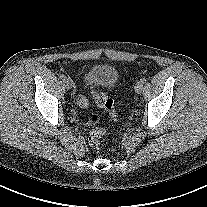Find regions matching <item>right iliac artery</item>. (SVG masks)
I'll use <instances>...</instances> for the list:
<instances>
[{"label":"right iliac artery","instance_id":"82829eb1","mask_svg":"<svg viewBox=\"0 0 207 207\" xmlns=\"http://www.w3.org/2000/svg\"><path fill=\"white\" fill-rule=\"evenodd\" d=\"M60 79H62V80H65L66 79V77H65V75H60Z\"/></svg>","mask_w":207,"mask_h":207}]
</instances>
